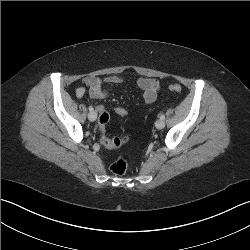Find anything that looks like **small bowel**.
I'll use <instances>...</instances> for the list:
<instances>
[{"label": "small bowel", "mask_w": 250, "mask_h": 250, "mask_svg": "<svg viewBox=\"0 0 250 250\" xmlns=\"http://www.w3.org/2000/svg\"><path fill=\"white\" fill-rule=\"evenodd\" d=\"M123 82L124 79L120 76H109L104 79L96 76H89L85 79V86H79L76 89V95L78 97H82L87 92H89L90 96L94 99H105L109 96L112 86L121 84ZM136 84L142 90L145 104H151L156 100L160 90V82L158 80L151 78H140L136 80ZM103 110H105L103 106L98 107L99 112Z\"/></svg>", "instance_id": "small-bowel-1"}]
</instances>
